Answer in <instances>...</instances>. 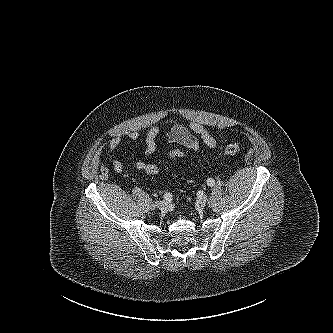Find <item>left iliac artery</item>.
Returning <instances> with one entry per match:
<instances>
[{"instance_id": "obj_1", "label": "left iliac artery", "mask_w": 333, "mask_h": 333, "mask_svg": "<svg viewBox=\"0 0 333 333\" xmlns=\"http://www.w3.org/2000/svg\"><path fill=\"white\" fill-rule=\"evenodd\" d=\"M207 185L210 186V187L214 186V185H215V180L212 179V178H209V179L207 180Z\"/></svg>"}]
</instances>
